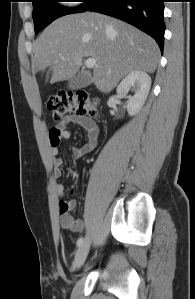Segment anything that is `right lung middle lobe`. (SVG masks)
Segmentation results:
<instances>
[{
	"instance_id": "obj_1",
	"label": "right lung middle lobe",
	"mask_w": 195,
	"mask_h": 299,
	"mask_svg": "<svg viewBox=\"0 0 195 299\" xmlns=\"http://www.w3.org/2000/svg\"><path fill=\"white\" fill-rule=\"evenodd\" d=\"M57 1L32 0L35 34L61 16L86 11L93 0H83L82 5L73 8L60 6Z\"/></svg>"
}]
</instances>
